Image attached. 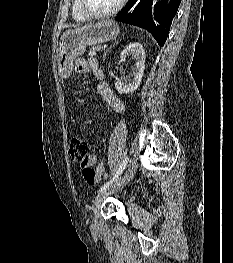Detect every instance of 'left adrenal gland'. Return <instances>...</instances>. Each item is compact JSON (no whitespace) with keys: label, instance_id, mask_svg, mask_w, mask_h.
<instances>
[{"label":"left adrenal gland","instance_id":"obj_1","mask_svg":"<svg viewBox=\"0 0 233 263\" xmlns=\"http://www.w3.org/2000/svg\"><path fill=\"white\" fill-rule=\"evenodd\" d=\"M117 43H118V41H116L112 46L109 47V49H107V51H106V52L104 53V55H103V59L105 58L107 52H108L112 47H114Z\"/></svg>","mask_w":233,"mask_h":263}]
</instances>
